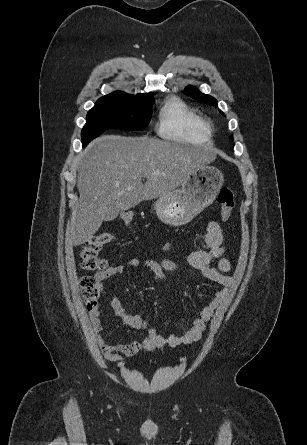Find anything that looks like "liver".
<instances>
[{
	"label": "liver",
	"mask_w": 307,
	"mask_h": 445,
	"mask_svg": "<svg viewBox=\"0 0 307 445\" xmlns=\"http://www.w3.org/2000/svg\"><path fill=\"white\" fill-rule=\"evenodd\" d=\"M216 158L202 146L144 136L102 134L79 162V204L71 220L69 243L83 245L111 220L141 200L179 190L189 174ZM165 174H152V172ZM145 176L146 182L141 178Z\"/></svg>",
	"instance_id": "obj_1"
}]
</instances>
